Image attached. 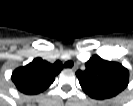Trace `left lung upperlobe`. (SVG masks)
<instances>
[{
	"label": "left lung upper lobe",
	"instance_id": "1",
	"mask_svg": "<svg viewBox=\"0 0 133 106\" xmlns=\"http://www.w3.org/2000/svg\"><path fill=\"white\" fill-rule=\"evenodd\" d=\"M84 71L76 76L84 92L94 99H107L123 91L129 81V72L120 63L103 60L93 55L85 64Z\"/></svg>",
	"mask_w": 133,
	"mask_h": 106
}]
</instances>
